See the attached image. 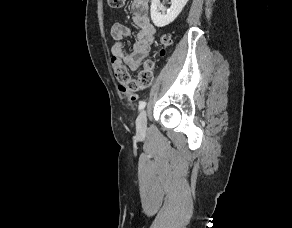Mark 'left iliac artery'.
<instances>
[{
	"label": "left iliac artery",
	"mask_w": 292,
	"mask_h": 228,
	"mask_svg": "<svg viewBox=\"0 0 292 228\" xmlns=\"http://www.w3.org/2000/svg\"><path fill=\"white\" fill-rule=\"evenodd\" d=\"M145 106H146V102L145 101H141V102H139V110H142V109H144L145 108Z\"/></svg>",
	"instance_id": "1"
}]
</instances>
